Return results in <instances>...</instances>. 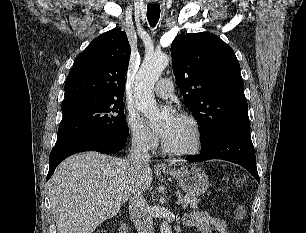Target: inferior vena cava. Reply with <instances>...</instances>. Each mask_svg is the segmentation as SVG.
Masks as SVG:
<instances>
[{
  "label": "inferior vena cava",
  "mask_w": 306,
  "mask_h": 233,
  "mask_svg": "<svg viewBox=\"0 0 306 233\" xmlns=\"http://www.w3.org/2000/svg\"><path fill=\"white\" fill-rule=\"evenodd\" d=\"M148 151L149 145L146 138L133 139L128 160L135 169H141L149 164L151 157ZM129 214L138 233H154L149 206L139 189L129 199Z\"/></svg>",
  "instance_id": "602c4592"
}]
</instances>
